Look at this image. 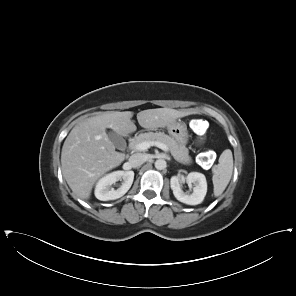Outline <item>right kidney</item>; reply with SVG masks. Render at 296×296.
I'll return each mask as SVG.
<instances>
[{
    "label": "right kidney",
    "mask_w": 296,
    "mask_h": 296,
    "mask_svg": "<svg viewBox=\"0 0 296 296\" xmlns=\"http://www.w3.org/2000/svg\"><path fill=\"white\" fill-rule=\"evenodd\" d=\"M122 185L117 189L110 188L115 182L122 180ZM134 180L133 171H114L99 179L95 187V196L98 200L109 201L122 197L130 189Z\"/></svg>",
    "instance_id": "ca27d5eb"
}]
</instances>
